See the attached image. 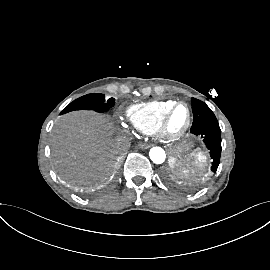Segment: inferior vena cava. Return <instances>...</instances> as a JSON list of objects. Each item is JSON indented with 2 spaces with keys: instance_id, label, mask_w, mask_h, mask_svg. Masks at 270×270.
<instances>
[{
  "instance_id": "1",
  "label": "inferior vena cava",
  "mask_w": 270,
  "mask_h": 270,
  "mask_svg": "<svg viewBox=\"0 0 270 270\" xmlns=\"http://www.w3.org/2000/svg\"><path fill=\"white\" fill-rule=\"evenodd\" d=\"M130 147V142L125 137H119L111 143V148L115 153H124Z\"/></svg>"
}]
</instances>
